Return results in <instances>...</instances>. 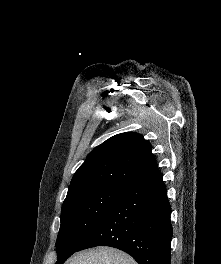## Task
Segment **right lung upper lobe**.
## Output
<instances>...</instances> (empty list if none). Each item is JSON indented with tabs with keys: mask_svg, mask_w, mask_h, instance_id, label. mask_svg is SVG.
Returning a JSON list of instances; mask_svg holds the SVG:
<instances>
[{
	"mask_svg": "<svg viewBox=\"0 0 221 264\" xmlns=\"http://www.w3.org/2000/svg\"><path fill=\"white\" fill-rule=\"evenodd\" d=\"M151 144L142 135H115L96 147L75 172L67 196L100 186L122 185L158 171Z\"/></svg>",
	"mask_w": 221,
	"mask_h": 264,
	"instance_id": "cb5924a9",
	"label": "right lung upper lobe"
}]
</instances>
